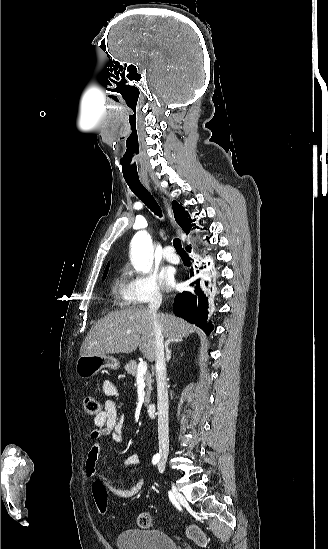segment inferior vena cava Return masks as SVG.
Masks as SVG:
<instances>
[{
	"mask_svg": "<svg viewBox=\"0 0 328 549\" xmlns=\"http://www.w3.org/2000/svg\"><path fill=\"white\" fill-rule=\"evenodd\" d=\"M162 305V299H153L148 303V313L154 317L155 337V369L157 383L158 403V449L161 457L168 455L169 451V429H168V391L166 379V363L164 357V337L158 323L157 313Z\"/></svg>",
	"mask_w": 328,
	"mask_h": 549,
	"instance_id": "1",
	"label": "inferior vena cava"
}]
</instances>
